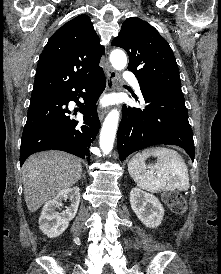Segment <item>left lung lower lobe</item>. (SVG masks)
<instances>
[{
  "mask_svg": "<svg viewBox=\"0 0 221 274\" xmlns=\"http://www.w3.org/2000/svg\"><path fill=\"white\" fill-rule=\"evenodd\" d=\"M144 109L123 106L117 144L119 159L157 144H173L185 149L194 160L195 149L184 98L165 97L141 90Z\"/></svg>",
  "mask_w": 221,
  "mask_h": 274,
  "instance_id": "left-lung-lower-lobe-1",
  "label": "left lung lower lobe"
}]
</instances>
